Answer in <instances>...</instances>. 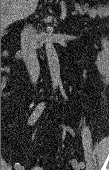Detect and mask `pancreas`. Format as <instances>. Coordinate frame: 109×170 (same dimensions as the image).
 I'll use <instances>...</instances> for the list:
<instances>
[{
  "label": "pancreas",
  "mask_w": 109,
  "mask_h": 170,
  "mask_svg": "<svg viewBox=\"0 0 109 170\" xmlns=\"http://www.w3.org/2000/svg\"><path fill=\"white\" fill-rule=\"evenodd\" d=\"M76 10L79 11L81 15L88 14L91 18H96L97 16L107 17L109 14V9L107 7H99L97 9H90L88 6L80 7L79 5H76Z\"/></svg>",
  "instance_id": "pancreas-1"
}]
</instances>
